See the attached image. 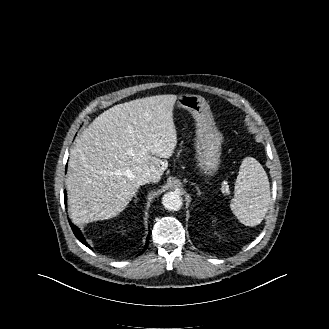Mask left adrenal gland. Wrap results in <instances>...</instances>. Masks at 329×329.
I'll return each mask as SVG.
<instances>
[{
	"label": "left adrenal gland",
	"mask_w": 329,
	"mask_h": 329,
	"mask_svg": "<svg viewBox=\"0 0 329 329\" xmlns=\"http://www.w3.org/2000/svg\"><path fill=\"white\" fill-rule=\"evenodd\" d=\"M196 190L198 191L197 195L200 196L202 192L200 191L199 187L196 185Z\"/></svg>",
	"instance_id": "left-adrenal-gland-1"
}]
</instances>
